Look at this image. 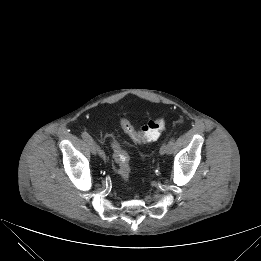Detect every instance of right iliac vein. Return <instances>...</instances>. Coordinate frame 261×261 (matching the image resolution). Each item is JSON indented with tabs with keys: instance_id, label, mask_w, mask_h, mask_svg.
<instances>
[{
	"instance_id": "63e3f726",
	"label": "right iliac vein",
	"mask_w": 261,
	"mask_h": 261,
	"mask_svg": "<svg viewBox=\"0 0 261 261\" xmlns=\"http://www.w3.org/2000/svg\"><path fill=\"white\" fill-rule=\"evenodd\" d=\"M87 142V141H86ZM87 147L90 151V153L93 155V156H96L97 155V150L95 148V146L91 143V142H87Z\"/></svg>"
}]
</instances>
